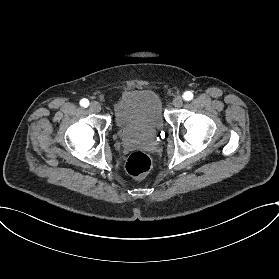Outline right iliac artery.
Returning a JSON list of instances; mask_svg holds the SVG:
<instances>
[{"mask_svg": "<svg viewBox=\"0 0 279 279\" xmlns=\"http://www.w3.org/2000/svg\"><path fill=\"white\" fill-rule=\"evenodd\" d=\"M80 105L86 108L89 106V101L84 98L80 101Z\"/></svg>", "mask_w": 279, "mask_h": 279, "instance_id": "right-iliac-artery-1", "label": "right iliac artery"}]
</instances>
